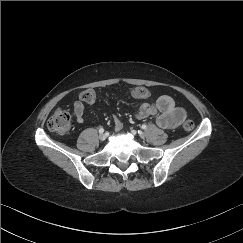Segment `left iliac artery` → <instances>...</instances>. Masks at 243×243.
<instances>
[{
    "mask_svg": "<svg viewBox=\"0 0 243 243\" xmlns=\"http://www.w3.org/2000/svg\"><path fill=\"white\" fill-rule=\"evenodd\" d=\"M141 128L145 130V129H147V126H146L145 124H143V125L141 126Z\"/></svg>",
    "mask_w": 243,
    "mask_h": 243,
    "instance_id": "obj_1",
    "label": "left iliac artery"
}]
</instances>
